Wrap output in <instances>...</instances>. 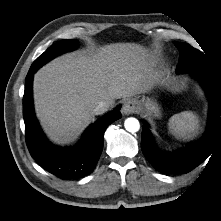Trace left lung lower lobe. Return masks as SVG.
Segmentation results:
<instances>
[{
	"label": "left lung lower lobe",
	"mask_w": 221,
	"mask_h": 221,
	"mask_svg": "<svg viewBox=\"0 0 221 221\" xmlns=\"http://www.w3.org/2000/svg\"><path fill=\"white\" fill-rule=\"evenodd\" d=\"M191 73L200 81L210 102L208 125L202 139L186 149L165 153L155 146L145 122L142 128V151L152 166L162 173H188L202 163L211 154L214 146L221 141V85L209 74Z\"/></svg>",
	"instance_id": "1"
}]
</instances>
